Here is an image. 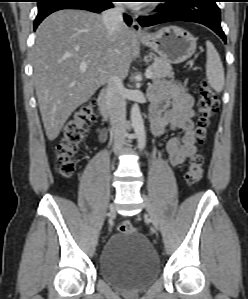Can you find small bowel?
<instances>
[{
  "mask_svg": "<svg viewBox=\"0 0 248 299\" xmlns=\"http://www.w3.org/2000/svg\"><path fill=\"white\" fill-rule=\"evenodd\" d=\"M150 96L153 101L152 129L157 136L167 130H180L181 137H174L167 143V151L172 166L183 164L196 152L194 132V101L180 82L165 81L151 88ZM98 139L103 142L106 133L98 131Z\"/></svg>",
  "mask_w": 248,
  "mask_h": 299,
  "instance_id": "c3829d8e",
  "label": "small bowel"
}]
</instances>
